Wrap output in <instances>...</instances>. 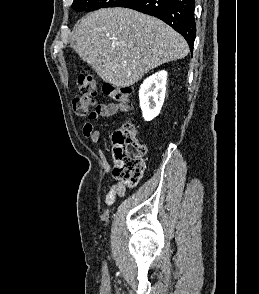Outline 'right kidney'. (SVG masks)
I'll return each mask as SVG.
<instances>
[{
  "mask_svg": "<svg viewBox=\"0 0 259 294\" xmlns=\"http://www.w3.org/2000/svg\"><path fill=\"white\" fill-rule=\"evenodd\" d=\"M167 72L159 71L143 81L139 89L140 107L146 121L160 113L166 93Z\"/></svg>",
  "mask_w": 259,
  "mask_h": 294,
  "instance_id": "1",
  "label": "right kidney"
}]
</instances>
